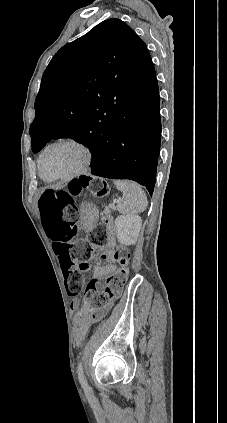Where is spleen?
Returning a JSON list of instances; mask_svg holds the SVG:
<instances>
[{"label":"spleen","mask_w":227,"mask_h":423,"mask_svg":"<svg viewBox=\"0 0 227 423\" xmlns=\"http://www.w3.org/2000/svg\"><path fill=\"white\" fill-rule=\"evenodd\" d=\"M117 190L123 192L122 202H119L117 210L120 213H141L147 208L145 192L136 182L130 180H114Z\"/></svg>","instance_id":"3e777b00"}]
</instances>
